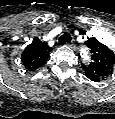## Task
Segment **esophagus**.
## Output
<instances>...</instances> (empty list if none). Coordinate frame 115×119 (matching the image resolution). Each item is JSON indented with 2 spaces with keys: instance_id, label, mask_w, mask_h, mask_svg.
Wrapping results in <instances>:
<instances>
[{
  "instance_id": "34e87169",
  "label": "esophagus",
  "mask_w": 115,
  "mask_h": 119,
  "mask_svg": "<svg viewBox=\"0 0 115 119\" xmlns=\"http://www.w3.org/2000/svg\"><path fill=\"white\" fill-rule=\"evenodd\" d=\"M67 45L70 46V47H72V44L71 43H68Z\"/></svg>"
}]
</instances>
